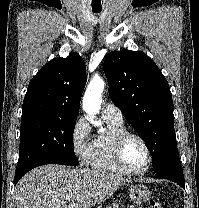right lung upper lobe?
Returning a JSON list of instances; mask_svg holds the SVG:
<instances>
[{"mask_svg": "<svg viewBox=\"0 0 199 208\" xmlns=\"http://www.w3.org/2000/svg\"><path fill=\"white\" fill-rule=\"evenodd\" d=\"M86 80L85 63L79 54L71 52L66 58L51 60L29 83L22 115L77 117Z\"/></svg>", "mask_w": 199, "mask_h": 208, "instance_id": "cb5924a9", "label": "right lung upper lobe"}]
</instances>
